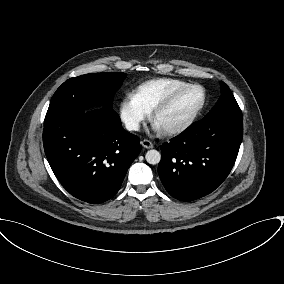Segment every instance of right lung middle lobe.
<instances>
[{
  "mask_svg": "<svg viewBox=\"0 0 284 284\" xmlns=\"http://www.w3.org/2000/svg\"><path fill=\"white\" fill-rule=\"evenodd\" d=\"M125 76L122 72H105L68 79L54 93L44 126L67 113L84 111L97 100L109 98L119 89ZM105 108L112 109L111 101L106 103Z\"/></svg>",
  "mask_w": 284,
  "mask_h": 284,
  "instance_id": "obj_1",
  "label": "right lung middle lobe"
}]
</instances>
